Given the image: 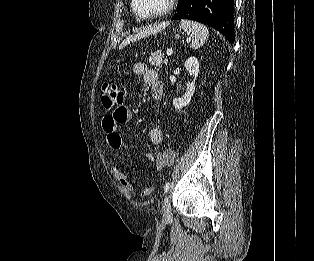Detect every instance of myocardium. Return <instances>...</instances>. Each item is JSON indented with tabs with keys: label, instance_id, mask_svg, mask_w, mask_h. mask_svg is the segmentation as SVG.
Listing matches in <instances>:
<instances>
[{
	"label": "myocardium",
	"instance_id": "obj_1",
	"mask_svg": "<svg viewBox=\"0 0 314 261\" xmlns=\"http://www.w3.org/2000/svg\"><path fill=\"white\" fill-rule=\"evenodd\" d=\"M176 2L177 0H168L166 6L162 10L145 15V14L140 13L137 10L136 0H131V9L133 13L141 19H153V18H158V17L168 14L174 8Z\"/></svg>",
	"mask_w": 314,
	"mask_h": 261
}]
</instances>
